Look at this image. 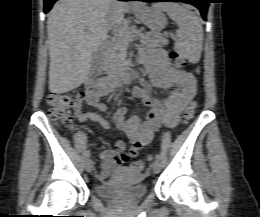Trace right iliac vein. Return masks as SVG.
I'll return each mask as SVG.
<instances>
[{"label":"right iliac vein","instance_id":"right-iliac-vein-1","mask_svg":"<svg viewBox=\"0 0 260 217\" xmlns=\"http://www.w3.org/2000/svg\"><path fill=\"white\" fill-rule=\"evenodd\" d=\"M85 168L87 172H91L92 168H93V163L91 159H88L85 163Z\"/></svg>","mask_w":260,"mask_h":217}]
</instances>
